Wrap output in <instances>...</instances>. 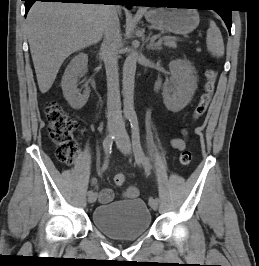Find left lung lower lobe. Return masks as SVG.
Here are the masks:
<instances>
[{
	"mask_svg": "<svg viewBox=\"0 0 259 266\" xmlns=\"http://www.w3.org/2000/svg\"><path fill=\"white\" fill-rule=\"evenodd\" d=\"M191 4V0H145V4H150V5H159V4H164L166 6H172L174 4ZM214 4V3H213ZM147 6V5H145ZM217 13L221 16V18L224 20L229 33H231V10L229 9H215Z\"/></svg>",
	"mask_w": 259,
	"mask_h": 266,
	"instance_id": "obj_1",
	"label": "left lung lower lobe"
}]
</instances>
